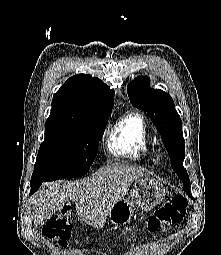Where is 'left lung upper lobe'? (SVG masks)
<instances>
[{"label":"left lung upper lobe","mask_w":221,"mask_h":255,"mask_svg":"<svg viewBox=\"0 0 221 255\" xmlns=\"http://www.w3.org/2000/svg\"><path fill=\"white\" fill-rule=\"evenodd\" d=\"M147 76H138L127 86L130 102L134 107L147 112L159 130L163 144L170 154L171 165L184 183L185 191L191 198L190 180L183 167L185 142L181 118L175 110L174 102L168 93L149 86Z\"/></svg>","instance_id":"left-lung-upper-lobe-1"}]
</instances>
